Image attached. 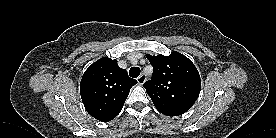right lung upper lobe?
I'll list each match as a JSON object with an SVG mask.
<instances>
[{
  "mask_svg": "<svg viewBox=\"0 0 276 138\" xmlns=\"http://www.w3.org/2000/svg\"><path fill=\"white\" fill-rule=\"evenodd\" d=\"M137 81L129 78L117 60L104 57L83 74L80 94L86 111L95 119L108 122L122 110L129 91Z\"/></svg>",
  "mask_w": 276,
  "mask_h": 138,
  "instance_id": "1",
  "label": "right lung upper lobe"
}]
</instances>
